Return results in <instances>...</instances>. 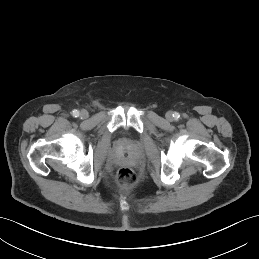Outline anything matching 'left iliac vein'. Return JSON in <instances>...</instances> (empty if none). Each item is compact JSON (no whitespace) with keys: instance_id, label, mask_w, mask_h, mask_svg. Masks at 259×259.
Returning <instances> with one entry per match:
<instances>
[{"instance_id":"4c4485c4","label":"left iliac vein","mask_w":259,"mask_h":259,"mask_svg":"<svg viewBox=\"0 0 259 259\" xmlns=\"http://www.w3.org/2000/svg\"><path fill=\"white\" fill-rule=\"evenodd\" d=\"M166 118H167V120H169V121H172L173 120V113L172 112H167L166 113Z\"/></svg>"}]
</instances>
